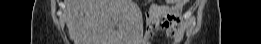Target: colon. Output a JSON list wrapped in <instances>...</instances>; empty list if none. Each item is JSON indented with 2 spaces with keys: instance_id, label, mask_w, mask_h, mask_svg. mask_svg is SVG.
<instances>
[{
  "instance_id": "colon-1",
  "label": "colon",
  "mask_w": 261,
  "mask_h": 44,
  "mask_svg": "<svg viewBox=\"0 0 261 44\" xmlns=\"http://www.w3.org/2000/svg\"><path fill=\"white\" fill-rule=\"evenodd\" d=\"M168 2L172 6H182L183 7L187 1H185V0H173V1H168Z\"/></svg>"
}]
</instances>
